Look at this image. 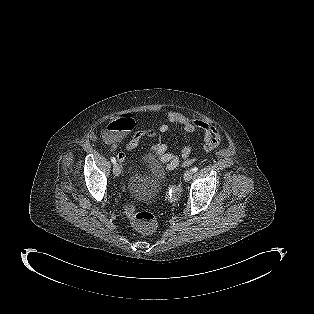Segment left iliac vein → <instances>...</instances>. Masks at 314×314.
Here are the masks:
<instances>
[{
  "label": "left iliac vein",
  "instance_id": "1",
  "mask_svg": "<svg viewBox=\"0 0 314 314\" xmlns=\"http://www.w3.org/2000/svg\"><path fill=\"white\" fill-rule=\"evenodd\" d=\"M192 175H193V172H192L191 169L186 170L185 173H184V180L186 182L190 181L191 178H192Z\"/></svg>",
  "mask_w": 314,
  "mask_h": 314
}]
</instances>
